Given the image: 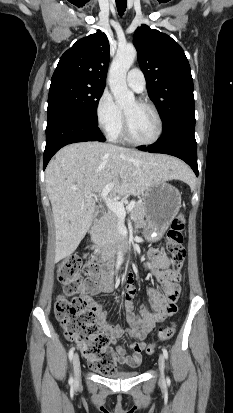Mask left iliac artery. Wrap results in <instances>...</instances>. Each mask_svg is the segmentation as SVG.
<instances>
[{
    "mask_svg": "<svg viewBox=\"0 0 233 413\" xmlns=\"http://www.w3.org/2000/svg\"><path fill=\"white\" fill-rule=\"evenodd\" d=\"M162 350H163L164 357L167 359V358H168V351H167V349H166V348H163Z\"/></svg>",
    "mask_w": 233,
    "mask_h": 413,
    "instance_id": "1",
    "label": "left iliac artery"
}]
</instances>
